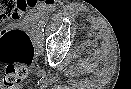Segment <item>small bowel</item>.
Masks as SVG:
<instances>
[{
    "label": "small bowel",
    "mask_w": 131,
    "mask_h": 89,
    "mask_svg": "<svg viewBox=\"0 0 131 89\" xmlns=\"http://www.w3.org/2000/svg\"><path fill=\"white\" fill-rule=\"evenodd\" d=\"M42 13H43V11L41 10V8H35L34 11H33V15L35 17L40 16Z\"/></svg>",
    "instance_id": "small-bowel-1"
}]
</instances>
